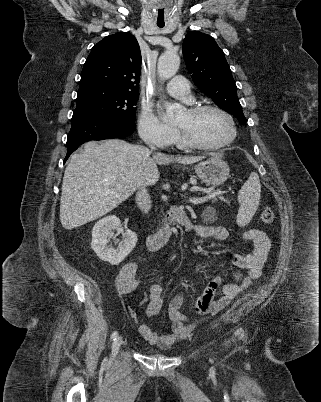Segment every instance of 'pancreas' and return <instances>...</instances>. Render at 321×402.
I'll list each match as a JSON object with an SVG mask.
<instances>
[{"label":"pancreas","instance_id":"cf45deb5","mask_svg":"<svg viewBox=\"0 0 321 402\" xmlns=\"http://www.w3.org/2000/svg\"><path fill=\"white\" fill-rule=\"evenodd\" d=\"M225 203H229V201L228 200H226V199H222Z\"/></svg>","mask_w":321,"mask_h":402}]
</instances>
